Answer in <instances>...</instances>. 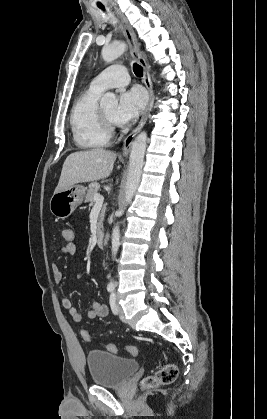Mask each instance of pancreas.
Returning <instances> with one entry per match:
<instances>
[{
	"instance_id": "obj_1",
	"label": "pancreas",
	"mask_w": 267,
	"mask_h": 419,
	"mask_svg": "<svg viewBox=\"0 0 267 419\" xmlns=\"http://www.w3.org/2000/svg\"><path fill=\"white\" fill-rule=\"evenodd\" d=\"M100 190V184L97 182H92L89 184L88 191L85 197V202H90V206L94 203V195L98 194V191ZM105 210L102 209L100 216H99V222L98 227L102 225L103 217H104Z\"/></svg>"
}]
</instances>
